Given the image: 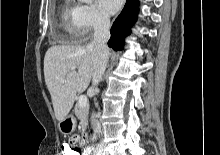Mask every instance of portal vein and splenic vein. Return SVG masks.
<instances>
[{"label": "portal vein and splenic vein", "mask_w": 220, "mask_h": 155, "mask_svg": "<svg viewBox=\"0 0 220 155\" xmlns=\"http://www.w3.org/2000/svg\"><path fill=\"white\" fill-rule=\"evenodd\" d=\"M75 68H71V70H74ZM64 82V80H63ZM78 104L80 107H85L87 105V97L84 95H80Z\"/></svg>", "instance_id": "obj_1"}]
</instances>
